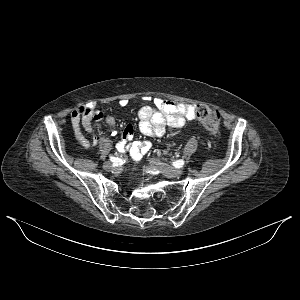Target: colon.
I'll return each instance as SVG.
<instances>
[{
	"label": "colon",
	"mask_w": 300,
	"mask_h": 300,
	"mask_svg": "<svg viewBox=\"0 0 300 300\" xmlns=\"http://www.w3.org/2000/svg\"><path fill=\"white\" fill-rule=\"evenodd\" d=\"M195 116L200 123L210 132H216L219 128L221 115L209 107L199 104L195 108Z\"/></svg>",
	"instance_id": "5ec220e1"
}]
</instances>
